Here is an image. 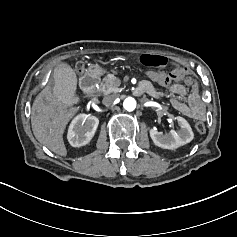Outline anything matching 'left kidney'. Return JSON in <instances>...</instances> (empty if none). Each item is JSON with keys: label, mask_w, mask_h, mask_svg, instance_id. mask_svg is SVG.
<instances>
[{"label": "left kidney", "mask_w": 237, "mask_h": 237, "mask_svg": "<svg viewBox=\"0 0 237 237\" xmlns=\"http://www.w3.org/2000/svg\"><path fill=\"white\" fill-rule=\"evenodd\" d=\"M176 119L181 128L179 131L171 130L163 134L155 129L150 130V137L156 146L173 150L193 140L194 133L189 123L180 116H177Z\"/></svg>", "instance_id": "left-kidney-1"}]
</instances>
